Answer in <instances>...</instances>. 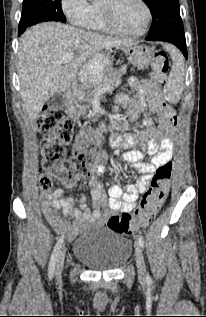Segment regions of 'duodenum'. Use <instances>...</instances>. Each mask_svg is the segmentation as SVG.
Segmentation results:
<instances>
[{"label": "duodenum", "instance_id": "410a0bca", "mask_svg": "<svg viewBox=\"0 0 206 317\" xmlns=\"http://www.w3.org/2000/svg\"><path fill=\"white\" fill-rule=\"evenodd\" d=\"M64 105L68 115H77L79 113L76 106L77 102L75 100H65Z\"/></svg>", "mask_w": 206, "mask_h": 317}]
</instances>
